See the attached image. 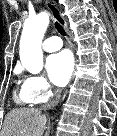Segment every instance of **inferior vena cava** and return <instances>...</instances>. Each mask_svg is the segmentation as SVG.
Here are the masks:
<instances>
[{"mask_svg": "<svg viewBox=\"0 0 117 136\" xmlns=\"http://www.w3.org/2000/svg\"><path fill=\"white\" fill-rule=\"evenodd\" d=\"M60 98H61V89H56L54 91V98L48 103H46L45 105H43L42 109L47 110L55 107L59 103Z\"/></svg>", "mask_w": 117, "mask_h": 136, "instance_id": "inferior-vena-cava-1", "label": "inferior vena cava"}]
</instances>
